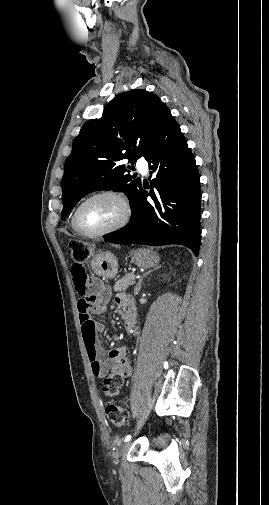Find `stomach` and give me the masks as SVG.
Wrapping results in <instances>:
<instances>
[{
  "label": "stomach",
  "mask_w": 269,
  "mask_h": 505,
  "mask_svg": "<svg viewBox=\"0 0 269 505\" xmlns=\"http://www.w3.org/2000/svg\"><path fill=\"white\" fill-rule=\"evenodd\" d=\"M131 261L141 268H150L158 264V254L150 248H138L131 253ZM92 271L104 278H115L118 273V261L111 252L99 253L91 261Z\"/></svg>",
  "instance_id": "1"
}]
</instances>
